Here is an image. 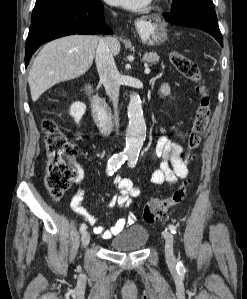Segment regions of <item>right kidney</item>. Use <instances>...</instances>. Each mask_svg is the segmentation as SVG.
I'll return each instance as SVG.
<instances>
[{
    "mask_svg": "<svg viewBox=\"0 0 247 299\" xmlns=\"http://www.w3.org/2000/svg\"><path fill=\"white\" fill-rule=\"evenodd\" d=\"M86 106L84 103L75 102L70 107V115L74 118L75 122L78 124L85 114Z\"/></svg>",
    "mask_w": 247,
    "mask_h": 299,
    "instance_id": "right-kidney-1",
    "label": "right kidney"
}]
</instances>
